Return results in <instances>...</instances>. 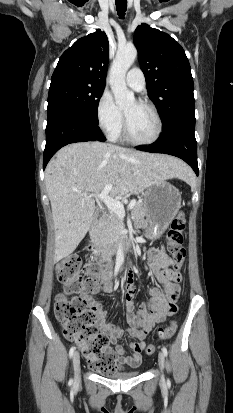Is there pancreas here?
<instances>
[{"label":"pancreas","mask_w":233,"mask_h":413,"mask_svg":"<svg viewBox=\"0 0 233 413\" xmlns=\"http://www.w3.org/2000/svg\"><path fill=\"white\" fill-rule=\"evenodd\" d=\"M131 216L134 221L144 218L145 209L142 202H137L135 204ZM121 225V218L111 211L94 227L91 232V241L95 245L102 247L107 243L118 240Z\"/></svg>","instance_id":"obj_1"}]
</instances>
